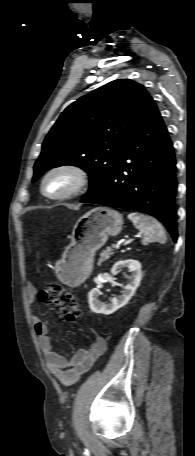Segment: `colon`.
Returning a JSON list of instances; mask_svg holds the SVG:
<instances>
[{
	"label": "colon",
	"instance_id": "colon-1",
	"mask_svg": "<svg viewBox=\"0 0 195 456\" xmlns=\"http://www.w3.org/2000/svg\"><path fill=\"white\" fill-rule=\"evenodd\" d=\"M38 297L41 302L56 306L69 322H75L80 315L74 295L60 284L46 283Z\"/></svg>",
	"mask_w": 195,
	"mask_h": 456
}]
</instances>
